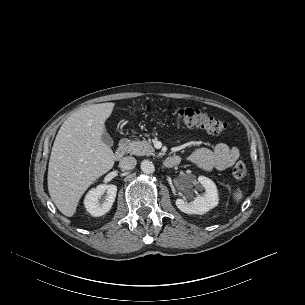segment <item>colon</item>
Returning <instances> with one entry per match:
<instances>
[{
  "instance_id": "colon-1",
  "label": "colon",
  "mask_w": 305,
  "mask_h": 305,
  "mask_svg": "<svg viewBox=\"0 0 305 305\" xmlns=\"http://www.w3.org/2000/svg\"><path fill=\"white\" fill-rule=\"evenodd\" d=\"M150 113H164L172 116L179 126L198 127L214 134L227 131L228 123L224 120L208 115L206 112L194 108H178L167 105L162 108H149ZM247 166L243 161H238L232 171L233 177L241 180L246 176Z\"/></svg>"
}]
</instances>
